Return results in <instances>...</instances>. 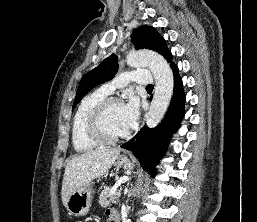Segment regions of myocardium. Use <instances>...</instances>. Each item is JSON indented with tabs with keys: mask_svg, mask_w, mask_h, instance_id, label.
Returning <instances> with one entry per match:
<instances>
[{
	"mask_svg": "<svg viewBox=\"0 0 257 222\" xmlns=\"http://www.w3.org/2000/svg\"><path fill=\"white\" fill-rule=\"evenodd\" d=\"M114 105H122V101L116 97H107L100 101L89 113L86 130L89 136L99 145H112L124 140L127 135L111 137L103 129V118L106 112Z\"/></svg>",
	"mask_w": 257,
	"mask_h": 222,
	"instance_id": "myocardium-1",
	"label": "myocardium"
}]
</instances>
